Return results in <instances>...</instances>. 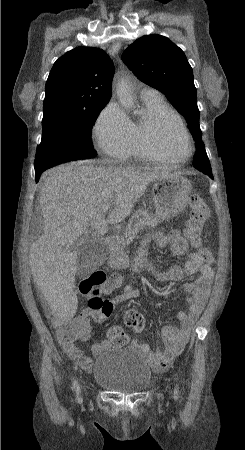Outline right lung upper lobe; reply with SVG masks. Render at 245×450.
Returning <instances> with one entry per match:
<instances>
[{
	"label": "right lung upper lobe",
	"mask_w": 245,
	"mask_h": 450,
	"mask_svg": "<svg viewBox=\"0 0 245 450\" xmlns=\"http://www.w3.org/2000/svg\"><path fill=\"white\" fill-rule=\"evenodd\" d=\"M114 65L99 48L77 47L56 60L46 82L43 110H90L111 98Z\"/></svg>",
	"instance_id": "right-lung-upper-lobe-1"
}]
</instances>
